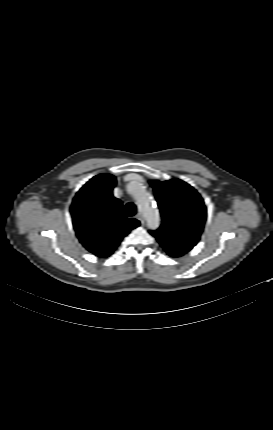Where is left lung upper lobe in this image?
Masks as SVG:
<instances>
[{"instance_id": "5c2ea615", "label": "left lung upper lobe", "mask_w": 273, "mask_h": 430, "mask_svg": "<svg viewBox=\"0 0 273 430\" xmlns=\"http://www.w3.org/2000/svg\"><path fill=\"white\" fill-rule=\"evenodd\" d=\"M162 215L159 229L149 231L172 257H180L199 241L206 221L200 194L179 179L150 181Z\"/></svg>"}]
</instances>
